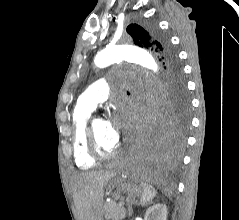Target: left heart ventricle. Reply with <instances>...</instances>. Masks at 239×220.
<instances>
[{"label":"left heart ventricle","mask_w":239,"mask_h":220,"mask_svg":"<svg viewBox=\"0 0 239 220\" xmlns=\"http://www.w3.org/2000/svg\"><path fill=\"white\" fill-rule=\"evenodd\" d=\"M93 127L97 143L102 151L108 152L117 145L118 141L109 134L107 121L96 118Z\"/></svg>","instance_id":"b2bd125f"}]
</instances>
